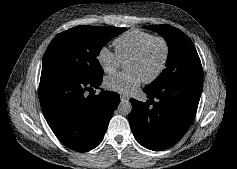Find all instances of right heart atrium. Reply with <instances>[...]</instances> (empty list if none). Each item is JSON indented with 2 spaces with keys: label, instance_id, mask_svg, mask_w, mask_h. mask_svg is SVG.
<instances>
[{
  "label": "right heart atrium",
  "instance_id": "right-heart-atrium-1",
  "mask_svg": "<svg viewBox=\"0 0 237 169\" xmlns=\"http://www.w3.org/2000/svg\"><path fill=\"white\" fill-rule=\"evenodd\" d=\"M97 61L106 73L115 72L120 65V58L108 46H102L97 53Z\"/></svg>",
  "mask_w": 237,
  "mask_h": 169
}]
</instances>
